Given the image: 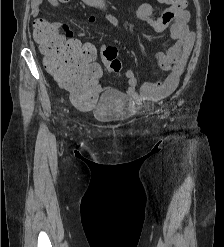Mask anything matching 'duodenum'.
Wrapping results in <instances>:
<instances>
[{
  "label": "duodenum",
  "mask_w": 224,
  "mask_h": 247,
  "mask_svg": "<svg viewBox=\"0 0 224 247\" xmlns=\"http://www.w3.org/2000/svg\"><path fill=\"white\" fill-rule=\"evenodd\" d=\"M56 48H57L56 44L52 45V50Z\"/></svg>",
  "instance_id": "duodenum-1"
}]
</instances>
